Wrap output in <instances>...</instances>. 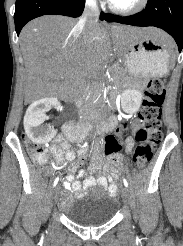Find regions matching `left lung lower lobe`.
I'll return each instance as SVG.
<instances>
[{"label": "left lung lower lobe", "mask_w": 183, "mask_h": 246, "mask_svg": "<svg viewBox=\"0 0 183 246\" xmlns=\"http://www.w3.org/2000/svg\"><path fill=\"white\" fill-rule=\"evenodd\" d=\"M105 19L108 22L161 28L175 39L179 52L183 48V0H148L141 13L126 17L106 14Z\"/></svg>", "instance_id": "left-lung-lower-lobe-1"}]
</instances>
